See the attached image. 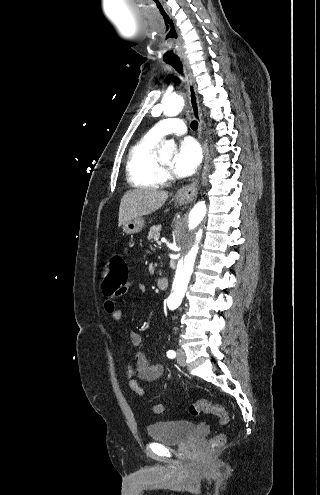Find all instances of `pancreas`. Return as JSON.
<instances>
[{
  "mask_svg": "<svg viewBox=\"0 0 320 495\" xmlns=\"http://www.w3.org/2000/svg\"><path fill=\"white\" fill-rule=\"evenodd\" d=\"M160 231H161V226L158 225V226H153L149 229V232H148V240L149 241H158L159 237H160Z\"/></svg>",
  "mask_w": 320,
  "mask_h": 495,
  "instance_id": "obj_1",
  "label": "pancreas"
}]
</instances>
